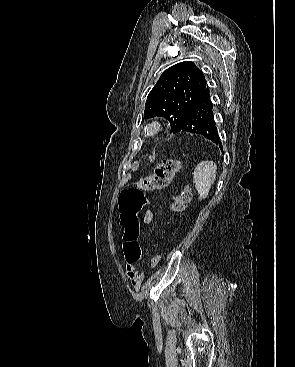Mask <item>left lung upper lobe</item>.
Returning <instances> with one entry per match:
<instances>
[{
	"label": "left lung upper lobe",
	"mask_w": 295,
	"mask_h": 367,
	"mask_svg": "<svg viewBox=\"0 0 295 367\" xmlns=\"http://www.w3.org/2000/svg\"><path fill=\"white\" fill-rule=\"evenodd\" d=\"M205 88V76L193 62L177 63L162 73L150 91L144 116L166 118L173 132Z\"/></svg>",
	"instance_id": "obj_1"
}]
</instances>
